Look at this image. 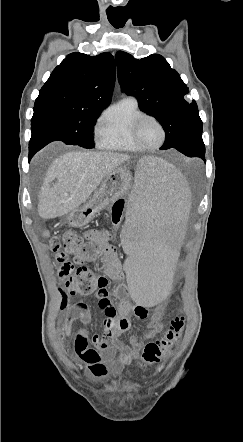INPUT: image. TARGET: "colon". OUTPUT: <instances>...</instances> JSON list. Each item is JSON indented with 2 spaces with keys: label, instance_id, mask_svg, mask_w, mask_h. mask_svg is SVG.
Listing matches in <instances>:
<instances>
[{
  "label": "colon",
  "instance_id": "5ec220e1",
  "mask_svg": "<svg viewBox=\"0 0 243 442\" xmlns=\"http://www.w3.org/2000/svg\"><path fill=\"white\" fill-rule=\"evenodd\" d=\"M124 207V200H118L113 205L112 223L116 226L123 220ZM46 236L54 254L58 277L63 283L64 298L61 305L66 303V294L88 295L98 289V275L85 264L83 238L74 230H67L62 238L50 236L48 233ZM70 256L74 257V263L70 261ZM184 324L185 319L182 316L172 319L158 339L145 345L141 357L136 359L137 366L153 365L169 358L182 336Z\"/></svg>",
  "mask_w": 243,
  "mask_h": 442
}]
</instances>
